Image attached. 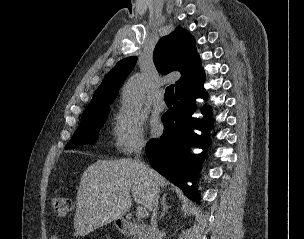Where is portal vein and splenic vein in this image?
Masks as SVG:
<instances>
[{"label":"portal vein and splenic vein","instance_id":"1","mask_svg":"<svg viewBox=\"0 0 304 239\" xmlns=\"http://www.w3.org/2000/svg\"><path fill=\"white\" fill-rule=\"evenodd\" d=\"M146 208L142 207V206H139L137 209H136V217L138 220L144 218L146 216Z\"/></svg>","mask_w":304,"mask_h":239}]
</instances>
